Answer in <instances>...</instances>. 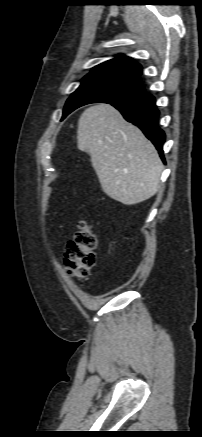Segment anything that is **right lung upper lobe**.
I'll use <instances>...</instances> for the list:
<instances>
[{"instance_id": "right-lung-upper-lobe-1", "label": "right lung upper lobe", "mask_w": 202, "mask_h": 437, "mask_svg": "<svg viewBox=\"0 0 202 437\" xmlns=\"http://www.w3.org/2000/svg\"><path fill=\"white\" fill-rule=\"evenodd\" d=\"M92 71L117 73L132 78L133 80L140 81L142 67L132 58L119 55L118 57L95 66Z\"/></svg>"}]
</instances>
